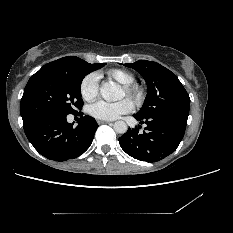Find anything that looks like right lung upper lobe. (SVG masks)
Masks as SVG:
<instances>
[{"label": "right lung upper lobe", "instance_id": "obj_1", "mask_svg": "<svg viewBox=\"0 0 233 233\" xmlns=\"http://www.w3.org/2000/svg\"><path fill=\"white\" fill-rule=\"evenodd\" d=\"M77 58L78 57L75 56L63 57L44 65L41 69L66 68L70 66Z\"/></svg>", "mask_w": 233, "mask_h": 233}]
</instances>
